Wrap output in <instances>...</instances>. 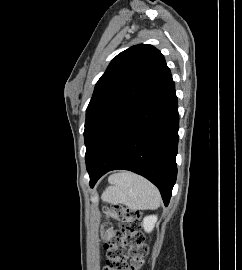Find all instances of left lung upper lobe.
<instances>
[{"label":"left lung upper lobe","instance_id":"left-lung-upper-lobe-1","mask_svg":"<svg viewBox=\"0 0 242 270\" xmlns=\"http://www.w3.org/2000/svg\"><path fill=\"white\" fill-rule=\"evenodd\" d=\"M170 72L155 47L139 44L118 54L95 85L86 110V167L114 126Z\"/></svg>","mask_w":242,"mask_h":270}]
</instances>
